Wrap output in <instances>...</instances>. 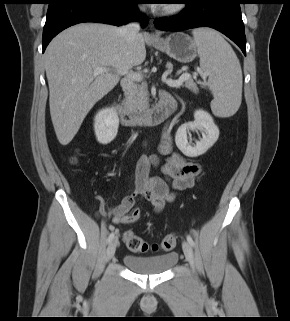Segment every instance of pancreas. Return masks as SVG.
Returning a JSON list of instances; mask_svg holds the SVG:
<instances>
[{
  "mask_svg": "<svg viewBox=\"0 0 290 321\" xmlns=\"http://www.w3.org/2000/svg\"><path fill=\"white\" fill-rule=\"evenodd\" d=\"M183 86L195 93L198 91L195 82L191 78L184 81ZM123 104L125 108L135 113L146 110L149 107L148 89L146 85L132 84L125 92Z\"/></svg>",
  "mask_w": 290,
  "mask_h": 321,
  "instance_id": "obj_1",
  "label": "pancreas"
}]
</instances>
